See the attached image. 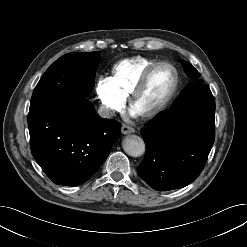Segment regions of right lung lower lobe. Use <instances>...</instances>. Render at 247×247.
I'll return each mask as SVG.
<instances>
[{
	"instance_id": "98d812e1",
	"label": "right lung lower lobe",
	"mask_w": 247,
	"mask_h": 247,
	"mask_svg": "<svg viewBox=\"0 0 247 247\" xmlns=\"http://www.w3.org/2000/svg\"><path fill=\"white\" fill-rule=\"evenodd\" d=\"M34 159L56 184L78 186L103 164L120 138L121 124L102 119L87 99H49L29 109Z\"/></svg>"
}]
</instances>
